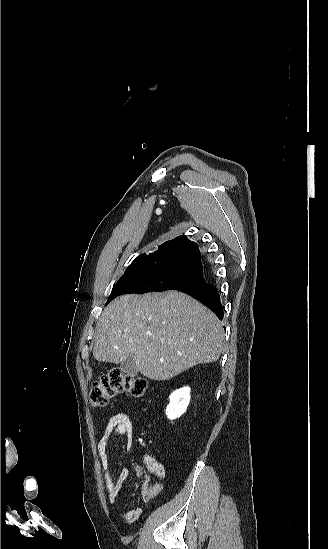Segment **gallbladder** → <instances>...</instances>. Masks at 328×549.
<instances>
[{"label":"gallbladder","mask_w":328,"mask_h":549,"mask_svg":"<svg viewBox=\"0 0 328 549\" xmlns=\"http://www.w3.org/2000/svg\"><path fill=\"white\" fill-rule=\"evenodd\" d=\"M120 369L121 371H124L126 375H129V377H136V375H138V367L134 355H131L130 353L128 359L121 363Z\"/></svg>","instance_id":"1"}]
</instances>
